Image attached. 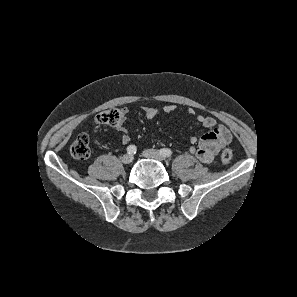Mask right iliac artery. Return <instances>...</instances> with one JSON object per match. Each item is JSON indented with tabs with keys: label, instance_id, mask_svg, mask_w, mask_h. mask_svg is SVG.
Listing matches in <instances>:
<instances>
[{
	"label": "right iliac artery",
	"instance_id": "1",
	"mask_svg": "<svg viewBox=\"0 0 297 297\" xmlns=\"http://www.w3.org/2000/svg\"><path fill=\"white\" fill-rule=\"evenodd\" d=\"M136 151H137V148H136L135 145H129V146L127 147V153L130 154V155L135 154Z\"/></svg>",
	"mask_w": 297,
	"mask_h": 297
}]
</instances>
